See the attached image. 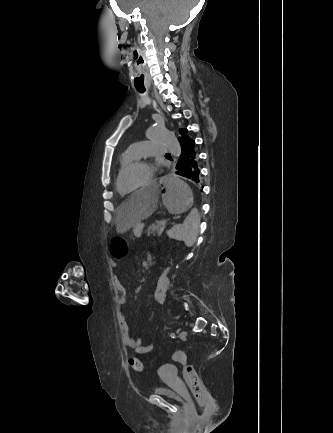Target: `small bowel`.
I'll return each instance as SVG.
<instances>
[{
    "instance_id": "c3829d8e",
    "label": "small bowel",
    "mask_w": 333,
    "mask_h": 433,
    "mask_svg": "<svg viewBox=\"0 0 333 433\" xmlns=\"http://www.w3.org/2000/svg\"><path fill=\"white\" fill-rule=\"evenodd\" d=\"M165 282V285L161 286V292L163 293V302L166 299V295L170 286L169 275L165 278ZM114 289L117 294L116 302L118 306L122 307L126 303V288L119 278L116 279L114 283ZM118 323L121 341L126 348L133 349L138 354H145L151 351L152 343L150 341H145L144 337L132 336L129 323L123 315L120 316Z\"/></svg>"
}]
</instances>
